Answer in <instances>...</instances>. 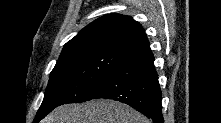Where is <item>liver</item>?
<instances>
[{"label": "liver", "instance_id": "liver-1", "mask_svg": "<svg viewBox=\"0 0 221 123\" xmlns=\"http://www.w3.org/2000/svg\"><path fill=\"white\" fill-rule=\"evenodd\" d=\"M41 123H150V121L125 104L98 99L84 104L59 106Z\"/></svg>", "mask_w": 221, "mask_h": 123}]
</instances>
